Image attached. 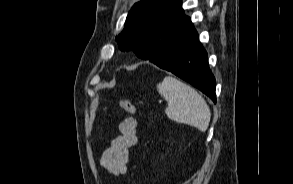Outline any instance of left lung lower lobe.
I'll return each mask as SVG.
<instances>
[{
	"instance_id": "obj_1",
	"label": "left lung lower lobe",
	"mask_w": 293,
	"mask_h": 184,
	"mask_svg": "<svg viewBox=\"0 0 293 184\" xmlns=\"http://www.w3.org/2000/svg\"><path fill=\"white\" fill-rule=\"evenodd\" d=\"M165 30L147 46L152 54L147 60L189 82L216 103V82L208 66L207 52L182 8L170 18Z\"/></svg>"
}]
</instances>
